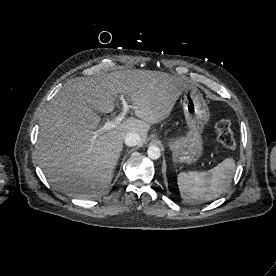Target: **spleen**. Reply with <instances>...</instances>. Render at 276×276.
<instances>
[{"label": "spleen", "instance_id": "1", "mask_svg": "<svg viewBox=\"0 0 276 276\" xmlns=\"http://www.w3.org/2000/svg\"><path fill=\"white\" fill-rule=\"evenodd\" d=\"M235 161L226 158L206 172H181L177 183L186 203H203L218 198L229 187L235 172Z\"/></svg>", "mask_w": 276, "mask_h": 276}]
</instances>
